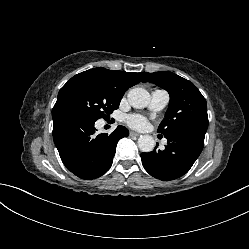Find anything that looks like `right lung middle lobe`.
<instances>
[{
	"instance_id": "obj_1",
	"label": "right lung middle lobe",
	"mask_w": 249,
	"mask_h": 249,
	"mask_svg": "<svg viewBox=\"0 0 249 249\" xmlns=\"http://www.w3.org/2000/svg\"><path fill=\"white\" fill-rule=\"evenodd\" d=\"M121 99V94L84 71L72 77L60 89L54 108H67L96 121L117 109Z\"/></svg>"
}]
</instances>
